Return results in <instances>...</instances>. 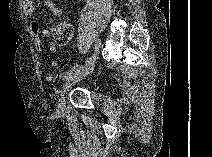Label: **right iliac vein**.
I'll use <instances>...</instances> for the list:
<instances>
[{
	"instance_id": "63e3f726",
	"label": "right iliac vein",
	"mask_w": 212,
	"mask_h": 157,
	"mask_svg": "<svg viewBox=\"0 0 212 157\" xmlns=\"http://www.w3.org/2000/svg\"><path fill=\"white\" fill-rule=\"evenodd\" d=\"M94 63L83 69L82 71L78 72L77 74L72 75L64 84L63 90L61 92L58 106H57V112L63 113L65 108V94L70 89L72 85L79 82L83 78H85L87 75H89L93 69H94Z\"/></svg>"
}]
</instances>
